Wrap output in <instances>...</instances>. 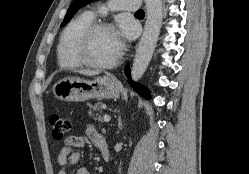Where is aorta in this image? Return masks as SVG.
Instances as JSON below:
<instances>
[{
  "label": "aorta",
  "mask_w": 249,
  "mask_h": 174,
  "mask_svg": "<svg viewBox=\"0 0 249 174\" xmlns=\"http://www.w3.org/2000/svg\"><path fill=\"white\" fill-rule=\"evenodd\" d=\"M146 22L131 69V77L139 81L146 71L155 50L163 20L162 0H145Z\"/></svg>",
  "instance_id": "obj_1"
}]
</instances>
